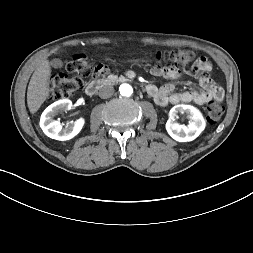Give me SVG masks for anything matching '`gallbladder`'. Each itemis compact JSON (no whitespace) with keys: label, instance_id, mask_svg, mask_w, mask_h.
Segmentation results:
<instances>
[{"label":"gallbladder","instance_id":"obj_1","mask_svg":"<svg viewBox=\"0 0 253 253\" xmlns=\"http://www.w3.org/2000/svg\"><path fill=\"white\" fill-rule=\"evenodd\" d=\"M51 65L54 67V68H61L63 66V62L58 59V58H55L51 61Z\"/></svg>","mask_w":253,"mask_h":253}]
</instances>
